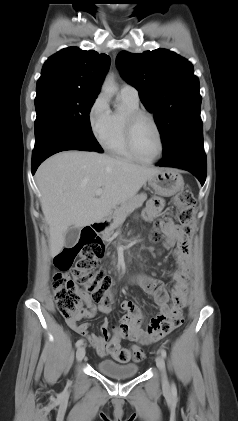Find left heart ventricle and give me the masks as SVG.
<instances>
[{"mask_svg":"<svg viewBox=\"0 0 238 421\" xmlns=\"http://www.w3.org/2000/svg\"><path fill=\"white\" fill-rule=\"evenodd\" d=\"M134 145L137 153L144 159L154 158L159 151L157 132L146 118H141L135 126Z\"/></svg>","mask_w":238,"mask_h":421,"instance_id":"b2bd125f","label":"left heart ventricle"}]
</instances>
